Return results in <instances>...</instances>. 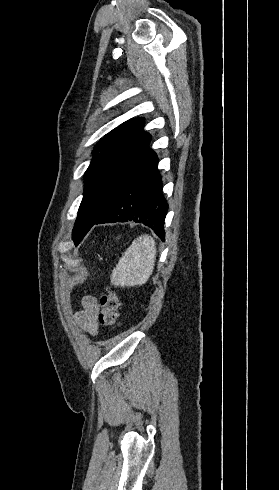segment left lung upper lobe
Listing matches in <instances>:
<instances>
[{
	"label": "left lung upper lobe",
	"mask_w": 279,
	"mask_h": 490,
	"mask_svg": "<svg viewBox=\"0 0 279 490\" xmlns=\"http://www.w3.org/2000/svg\"><path fill=\"white\" fill-rule=\"evenodd\" d=\"M143 125V118L130 119L95 146L94 158L84 175L83 199L72 231L76 246L110 210L120 188L146 153L151 135L143 131Z\"/></svg>",
	"instance_id": "left-lung-upper-lobe-1"
}]
</instances>
